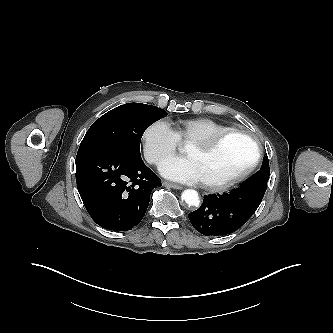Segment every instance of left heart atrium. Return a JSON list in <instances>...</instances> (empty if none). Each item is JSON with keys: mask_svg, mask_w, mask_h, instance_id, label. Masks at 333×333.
Masks as SVG:
<instances>
[{"mask_svg": "<svg viewBox=\"0 0 333 333\" xmlns=\"http://www.w3.org/2000/svg\"><path fill=\"white\" fill-rule=\"evenodd\" d=\"M160 171L165 177L183 183L201 181L196 164L189 156L171 157L165 160L160 166Z\"/></svg>", "mask_w": 333, "mask_h": 333, "instance_id": "39dd6f15", "label": "left heart atrium"}]
</instances>
